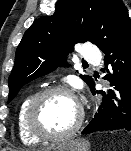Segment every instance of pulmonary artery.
I'll use <instances>...</instances> for the list:
<instances>
[{
	"label": "pulmonary artery",
	"instance_id": "obj_1",
	"mask_svg": "<svg viewBox=\"0 0 131 151\" xmlns=\"http://www.w3.org/2000/svg\"><path fill=\"white\" fill-rule=\"evenodd\" d=\"M81 56L87 62L92 64H98L100 60V54L98 50L91 44H84L81 50Z\"/></svg>",
	"mask_w": 131,
	"mask_h": 151
}]
</instances>
